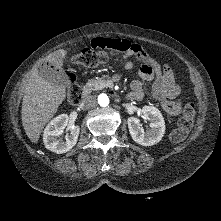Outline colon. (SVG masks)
I'll return each instance as SVG.
<instances>
[{"label": "colon", "mask_w": 221, "mask_h": 221, "mask_svg": "<svg viewBox=\"0 0 221 221\" xmlns=\"http://www.w3.org/2000/svg\"><path fill=\"white\" fill-rule=\"evenodd\" d=\"M110 49H84L80 53L72 57V62L76 65L85 67H96L100 64L105 63L109 55L111 54ZM67 99L70 104H77L81 100V91L77 80L74 76L70 77L69 87L67 91ZM195 115L194 105L187 103L183 110V115L178 120L176 128H174L169 135V138L173 142H180L184 140L193 126V120Z\"/></svg>", "instance_id": "1"}]
</instances>
